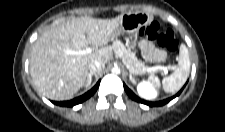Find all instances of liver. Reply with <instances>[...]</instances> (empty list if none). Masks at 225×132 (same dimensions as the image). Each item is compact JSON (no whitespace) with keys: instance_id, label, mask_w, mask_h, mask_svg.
Listing matches in <instances>:
<instances>
[{"instance_id":"1","label":"liver","mask_w":225,"mask_h":132,"mask_svg":"<svg viewBox=\"0 0 225 132\" xmlns=\"http://www.w3.org/2000/svg\"><path fill=\"white\" fill-rule=\"evenodd\" d=\"M122 17L73 18L44 32L33 44L30 58V74L37 90L51 100L71 99L84 85L92 60L105 64L113 58L107 44ZM88 45L97 49L82 55L67 53L83 51Z\"/></svg>"}]
</instances>
